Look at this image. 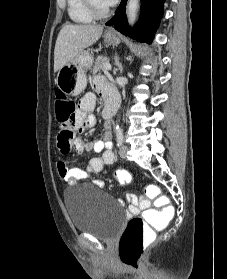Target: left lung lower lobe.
Wrapping results in <instances>:
<instances>
[{
    "instance_id": "left-lung-lower-lobe-1",
    "label": "left lung lower lobe",
    "mask_w": 227,
    "mask_h": 279,
    "mask_svg": "<svg viewBox=\"0 0 227 279\" xmlns=\"http://www.w3.org/2000/svg\"><path fill=\"white\" fill-rule=\"evenodd\" d=\"M165 0H141V15L134 30H129L125 14L127 0H122L116 14L106 25H113L116 30L136 40L150 43L153 34L160 23L163 15Z\"/></svg>"
}]
</instances>
